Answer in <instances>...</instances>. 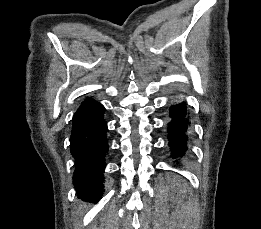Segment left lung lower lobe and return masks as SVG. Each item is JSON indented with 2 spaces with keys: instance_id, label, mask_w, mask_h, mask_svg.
<instances>
[{
  "instance_id": "obj_1",
  "label": "left lung lower lobe",
  "mask_w": 261,
  "mask_h": 229,
  "mask_svg": "<svg viewBox=\"0 0 261 229\" xmlns=\"http://www.w3.org/2000/svg\"><path fill=\"white\" fill-rule=\"evenodd\" d=\"M171 121L168 123V140L169 146L172 150L171 157L173 159H180L185 155L187 148V133L189 131V120L187 118V107L185 103L172 105L170 107ZM179 160L175 163L178 164Z\"/></svg>"
}]
</instances>
